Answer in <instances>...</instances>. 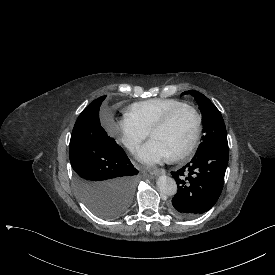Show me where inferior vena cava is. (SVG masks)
I'll list each match as a JSON object with an SVG mask.
<instances>
[{"mask_svg": "<svg viewBox=\"0 0 275 275\" xmlns=\"http://www.w3.org/2000/svg\"><path fill=\"white\" fill-rule=\"evenodd\" d=\"M126 146L131 152H133L135 150V147L137 146V143L135 141L127 140Z\"/></svg>", "mask_w": 275, "mask_h": 275, "instance_id": "inferior-vena-cava-1", "label": "inferior vena cava"}]
</instances>
